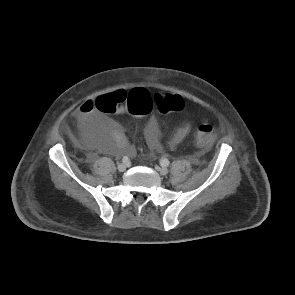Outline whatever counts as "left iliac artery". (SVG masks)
Returning a JSON list of instances; mask_svg holds the SVG:
<instances>
[{"label":"left iliac artery","mask_w":295,"mask_h":295,"mask_svg":"<svg viewBox=\"0 0 295 295\" xmlns=\"http://www.w3.org/2000/svg\"><path fill=\"white\" fill-rule=\"evenodd\" d=\"M160 163H161L162 166H169V164H170L169 160L166 159V158H162L160 160Z\"/></svg>","instance_id":"44dca946"}]
</instances>
